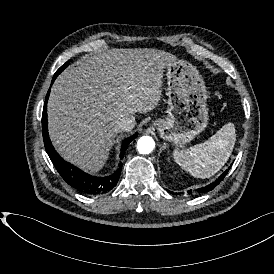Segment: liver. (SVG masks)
I'll use <instances>...</instances> for the list:
<instances>
[{
	"mask_svg": "<svg viewBox=\"0 0 274 274\" xmlns=\"http://www.w3.org/2000/svg\"><path fill=\"white\" fill-rule=\"evenodd\" d=\"M176 57L155 49H112L86 55L56 80L48 103L57 150L88 172L105 164L117 120L154 111L164 72Z\"/></svg>",
	"mask_w": 274,
	"mask_h": 274,
	"instance_id": "6515ba94",
	"label": "liver"
}]
</instances>
